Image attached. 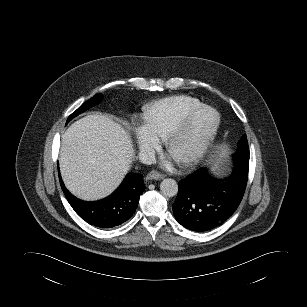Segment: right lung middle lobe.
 <instances>
[{"label":"right lung middle lobe","mask_w":307,"mask_h":307,"mask_svg":"<svg viewBox=\"0 0 307 307\" xmlns=\"http://www.w3.org/2000/svg\"><path fill=\"white\" fill-rule=\"evenodd\" d=\"M103 95L102 94H97L95 96H93L90 100L86 101L85 103H83L74 113H72L68 120L67 123L75 116H77L79 113L85 111L87 108L96 105L97 103H99L102 100Z\"/></svg>","instance_id":"obj_1"}]
</instances>
